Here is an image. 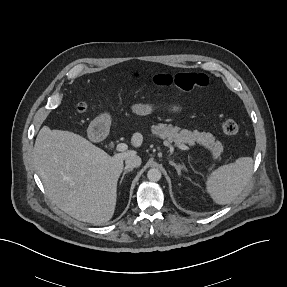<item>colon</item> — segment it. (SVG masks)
Returning <instances> with one entry per match:
<instances>
[{"label": "colon", "instance_id": "colon-1", "mask_svg": "<svg viewBox=\"0 0 287 287\" xmlns=\"http://www.w3.org/2000/svg\"><path fill=\"white\" fill-rule=\"evenodd\" d=\"M152 82L158 86H170L174 85L183 90H194L205 88L208 83V77L205 74L192 73V72H180L174 75L159 73L152 77ZM88 109L86 103H81L78 106L80 112H85ZM221 129L228 135H236L240 132L239 124L231 119H222Z\"/></svg>", "mask_w": 287, "mask_h": 287}]
</instances>
